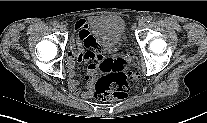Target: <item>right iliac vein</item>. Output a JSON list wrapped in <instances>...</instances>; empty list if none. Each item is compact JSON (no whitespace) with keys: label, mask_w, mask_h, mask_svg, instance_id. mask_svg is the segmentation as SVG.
<instances>
[{"label":"right iliac vein","mask_w":207,"mask_h":123,"mask_svg":"<svg viewBox=\"0 0 207 123\" xmlns=\"http://www.w3.org/2000/svg\"><path fill=\"white\" fill-rule=\"evenodd\" d=\"M60 31L65 32L66 31V27L65 25H60L59 26Z\"/></svg>","instance_id":"63e3f726"}]
</instances>
